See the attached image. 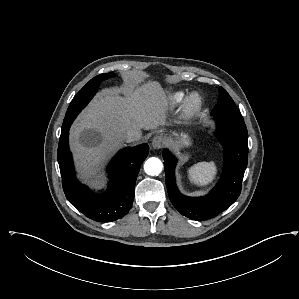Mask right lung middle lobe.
Returning a JSON list of instances; mask_svg holds the SVG:
<instances>
[{
  "mask_svg": "<svg viewBox=\"0 0 299 299\" xmlns=\"http://www.w3.org/2000/svg\"><path fill=\"white\" fill-rule=\"evenodd\" d=\"M113 73L100 74L91 79L73 98L66 112L61 132L70 128V125L79 114V112L88 104L95 95L101 81L112 77Z\"/></svg>",
  "mask_w": 299,
  "mask_h": 299,
  "instance_id": "obj_1",
  "label": "right lung middle lobe"
}]
</instances>
